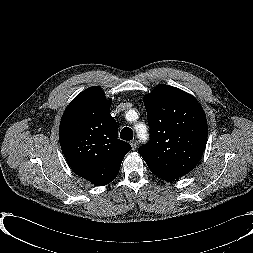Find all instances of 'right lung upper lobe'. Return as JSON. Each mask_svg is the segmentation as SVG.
Listing matches in <instances>:
<instances>
[{"instance_id": "obj_1", "label": "right lung upper lobe", "mask_w": 253, "mask_h": 253, "mask_svg": "<svg viewBox=\"0 0 253 253\" xmlns=\"http://www.w3.org/2000/svg\"><path fill=\"white\" fill-rule=\"evenodd\" d=\"M111 100L100 87L81 92L65 110L59 141L71 169L96 186L107 185L119 173L129 143L118 139V127L110 115Z\"/></svg>"}]
</instances>
